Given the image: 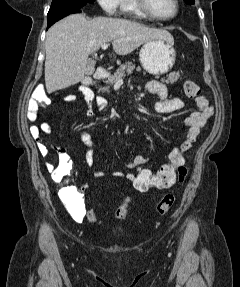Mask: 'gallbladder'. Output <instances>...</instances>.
I'll return each instance as SVG.
<instances>
[{
  "mask_svg": "<svg viewBox=\"0 0 240 287\" xmlns=\"http://www.w3.org/2000/svg\"><path fill=\"white\" fill-rule=\"evenodd\" d=\"M94 72V64L93 63H88L87 67H86V75L90 76L92 75Z\"/></svg>",
  "mask_w": 240,
  "mask_h": 287,
  "instance_id": "bac80fb5",
  "label": "gallbladder"
}]
</instances>
